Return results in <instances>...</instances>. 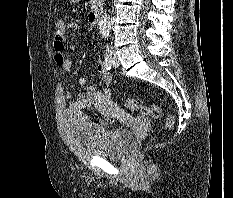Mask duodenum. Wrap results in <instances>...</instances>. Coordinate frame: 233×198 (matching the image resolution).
Listing matches in <instances>:
<instances>
[{"instance_id": "obj_1", "label": "duodenum", "mask_w": 233, "mask_h": 198, "mask_svg": "<svg viewBox=\"0 0 233 198\" xmlns=\"http://www.w3.org/2000/svg\"><path fill=\"white\" fill-rule=\"evenodd\" d=\"M101 14H102V12H101V10L98 9V8L92 10V11L89 13L88 18H87L88 23H89L90 25H96V24L100 21Z\"/></svg>"}]
</instances>
